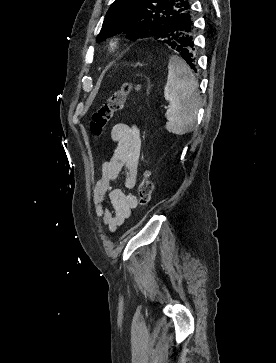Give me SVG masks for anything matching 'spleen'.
Here are the masks:
<instances>
[{"mask_svg": "<svg viewBox=\"0 0 276 363\" xmlns=\"http://www.w3.org/2000/svg\"><path fill=\"white\" fill-rule=\"evenodd\" d=\"M164 97L169 102L166 130L184 135L193 130L200 105L198 81L186 62L173 55L168 63Z\"/></svg>", "mask_w": 276, "mask_h": 363, "instance_id": "spleen-1", "label": "spleen"}]
</instances>
